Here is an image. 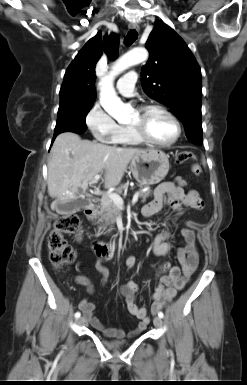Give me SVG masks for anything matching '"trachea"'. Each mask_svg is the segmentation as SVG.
<instances>
[{
    "instance_id": "trachea-1",
    "label": "trachea",
    "mask_w": 247,
    "mask_h": 385,
    "mask_svg": "<svg viewBox=\"0 0 247 385\" xmlns=\"http://www.w3.org/2000/svg\"><path fill=\"white\" fill-rule=\"evenodd\" d=\"M138 38V34L136 32V30H129V32L127 33V36L125 38V44L127 46H130L133 42H135Z\"/></svg>"
}]
</instances>
